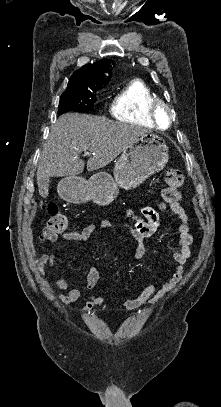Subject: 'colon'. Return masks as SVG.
I'll list each match as a JSON object with an SVG mask.
<instances>
[{
	"instance_id": "obj_1",
	"label": "colon",
	"mask_w": 221,
	"mask_h": 407,
	"mask_svg": "<svg viewBox=\"0 0 221 407\" xmlns=\"http://www.w3.org/2000/svg\"><path fill=\"white\" fill-rule=\"evenodd\" d=\"M184 174L180 169L171 168L165 173V185L161 189L162 203L173 206L179 203L181 199L180 188L184 183ZM68 228L67 217L58 211L55 204L47 207V220L42 231L43 240H54L59 234L65 232Z\"/></svg>"
}]
</instances>
